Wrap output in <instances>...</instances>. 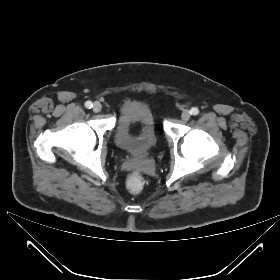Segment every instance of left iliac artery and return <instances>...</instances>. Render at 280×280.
I'll return each instance as SVG.
<instances>
[{"label":"left iliac artery","mask_w":280,"mask_h":280,"mask_svg":"<svg viewBox=\"0 0 280 280\" xmlns=\"http://www.w3.org/2000/svg\"><path fill=\"white\" fill-rule=\"evenodd\" d=\"M198 113H199V109H198V108H196V107L191 108L190 114H192V115H198Z\"/></svg>","instance_id":"1"}]
</instances>
